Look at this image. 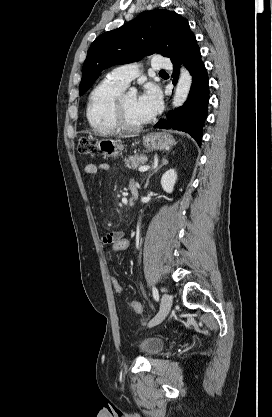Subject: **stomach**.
<instances>
[{
  "label": "stomach",
  "instance_id": "0dacf381",
  "mask_svg": "<svg viewBox=\"0 0 272 417\" xmlns=\"http://www.w3.org/2000/svg\"><path fill=\"white\" fill-rule=\"evenodd\" d=\"M143 144L148 150H167L175 144V140L167 133H151L143 137ZM97 146L106 157L112 158L118 157L123 150V145L113 139H101Z\"/></svg>",
  "mask_w": 272,
  "mask_h": 417
}]
</instances>
